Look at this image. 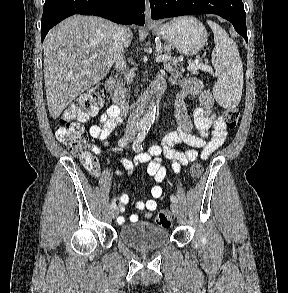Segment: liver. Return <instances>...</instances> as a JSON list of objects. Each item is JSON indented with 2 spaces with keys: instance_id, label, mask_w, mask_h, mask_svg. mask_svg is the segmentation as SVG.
<instances>
[{
  "instance_id": "liver-1",
  "label": "liver",
  "mask_w": 288,
  "mask_h": 293,
  "mask_svg": "<svg viewBox=\"0 0 288 293\" xmlns=\"http://www.w3.org/2000/svg\"><path fill=\"white\" fill-rule=\"evenodd\" d=\"M117 27L100 17L74 15L49 31L44 41V81L53 119L107 75L114 63ZM132 38L127 28L124 47L130 45ZM93 55L96 58L91 60Z\"/></svg>"
}]
</instances>
